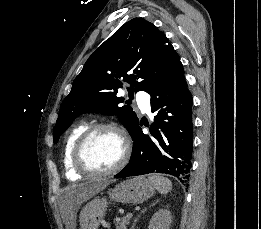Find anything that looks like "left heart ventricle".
<instances>
[{
    "instance_id": "left-heart-ventricle-1",
    "label": "left heart ventricle",
    "mask_w": 261,
    "mask_h": 229,
    "mask_svg": "<svg viewBox=\"0 0 261 229\" xmlns=\"http://www.w3.org/2000/svg\"><path fill=\"white\" fill-rule=\"evenodd\" d=\"M122 152L123 145L119 135L102 130L91 138L86 147L85 157L93 168L107 170L119 162Z\"/></svg>"
}]
</instances>
